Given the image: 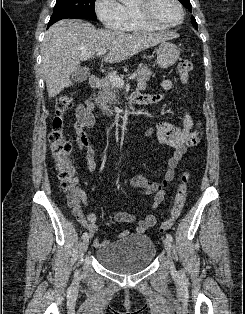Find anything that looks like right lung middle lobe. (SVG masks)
<instances>
[{
    "label": "right lung middle lobe",
    "mask_w": 245,
    "mask_h": 314,
    "mask_svg": "<svg viewBox=\"0 0 245 314\" xmlns=\"http://www.w3.org/2000/svg\"><path fill=\"white\" fill-rule=\"evenodd\" d=\"M95 0H57L50 21L65 18L96 20Z\"/></svg>",
    "instance_id": "1"
}]
</instances>
